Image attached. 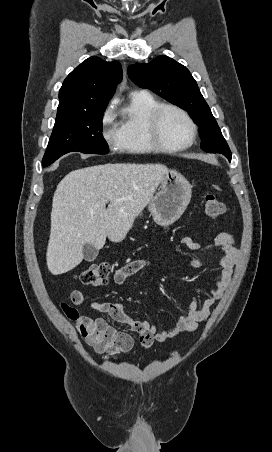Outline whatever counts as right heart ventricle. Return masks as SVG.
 <instances>
[{"instance_id":"obj_1","label":"right heart ventricle","mask_w":272,"mask_h":452,"mask_svg":"<svg viewBox=\"0 0 272 452\" xmlns=\"http://www.w3.org/2000/svg\"><path fill=\"white\" fill-rule=\"evenodd\" d=\"M160 104L149 92L139 91L132 94L118 128L121 150L134 154H147L157 150L148 137L147 124L150 115Z\"/></svg>"}]
</instances>
